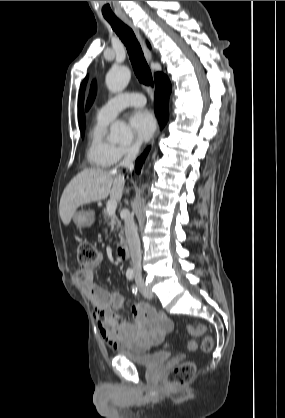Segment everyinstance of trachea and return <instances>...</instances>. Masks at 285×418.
<instances>
[{
  "label": "trachea",
  "mask_w": 285,
  "mask_h": 418,
  "mask_svg": "<svg viewBox=\"0 0 285 418\" xmlns=\"http://www.w3.org/2000/svg\"><path fill=\"white\" fill-rule=\"evenodd\" d=\"M105 19L110 23L112 29L126 46L133 70L138 80L146 86H153L150 68L133 30L117 17L105 16Z\"/></svg>",
  "instance_id": "trachea-1"
}]
</instances>
